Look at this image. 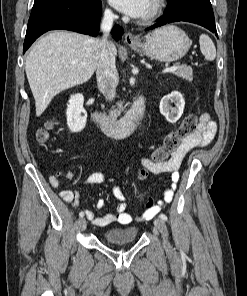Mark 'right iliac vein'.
Returning a JSON list of instances; mask_svg holds the SVG:
<instances>
[{
  "mask_svg": "<svg viewBox=\"0 0 247 296\" xmlns=\"http://www.w3.org/2000/svg\"><path fill=\"white\" fill-rule=\"evenodd\" d=\"M79 226L81 230H85L87 226V222L84 218L79 219Z\"/></svg>",
  "mask_w": 247,
  "mask_h": 296,
  "instance_id": "1",
  "label": "right iliac vein"
}]
</instances>
